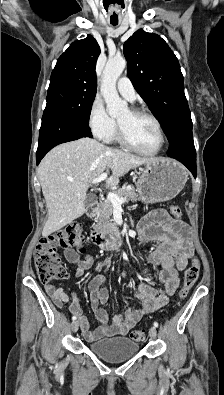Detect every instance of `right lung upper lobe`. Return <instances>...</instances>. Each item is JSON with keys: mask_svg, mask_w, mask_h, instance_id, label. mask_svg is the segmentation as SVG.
I'll return each mask as SVG.
<instances>
[{"mask_svg": "<svg viewBox=\"0 0 224 395\" xmlns=\"http://www.w3.org/2000/svg\"><path fill=\"white\" fill-rule=\"evenodd\" d=\"M100 47L93 36L73 42L59 57L50 79H62L96 88L95 66Z\"/></svg>", "mask_w": 224, "mask_h": 395, "instance_id": "obj_1", "label": "right lung upper lobe"}]
</instances>
